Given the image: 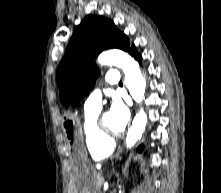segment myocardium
Here are the masks:
<instances>
[{
  "label": "myocardium",
  "mask_w": 221,
  "mask_h": 193,
  "mask_svg": "<svg viewBox=\"0 0 221 193\" xmlns=\"http://www.w3.org/2000/svg\"><path fill=\"white\" fill-rule=\"evenodd\" d=\"M103 115L104 113H101L97 118V130L103 139L108 142H113L115 138L120 136V132L109 131L104 125Z\"/></svg>",
  "instance_id": "myocardium-1"
}]
</instances>
